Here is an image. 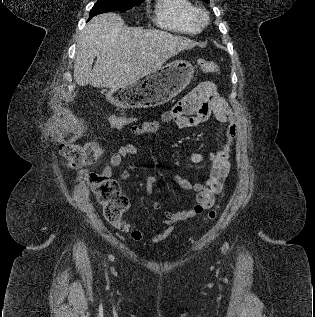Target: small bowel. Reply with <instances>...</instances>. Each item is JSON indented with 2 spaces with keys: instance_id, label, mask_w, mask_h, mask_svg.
Instances as JSON below:
<instances>
[{
  "instance_id": "c3829d8e",
  "label": "small bowel",
  "mask_w": 315,
  "mask_h": 317,
  "mask_svg": "<svg viewBox=\"0 0 315 317\" xmlns=\"http://www.w3.org/2000/svg\"><path fill=\"white\" fill-rule=\"evenodd\" d=\"M212 115L226 125V137L221 149L208 155L193 153L190 156V160L194 164H200L206 160L210 162L211 169L208 179L205 183H191L181 175L174 176V181L180 187L196 192V204L186 210L166 212L163 220L165 228L150 237L148 241L151 244L165 240L173 232L175 223L196 217L214 205L216 195L220 193L223 181L230 170L229 156L236 137L237 123L228 103L219 96L216 85L213 82H204L171 109L164 111L158 118L131 127L132 134L140 137L156 133L163 124L169 122H175L180 128L196 127L207 121ZM141 152L142 147L138 144H124L112 154L109 164L103 168L102 173L112 177L114 168L119 167L125 157L135 156ZM128 175L129 173L125 171L122 178H127ZM145 189L149 196L154 194L157 190V178L148 177ZM152 206L155 210L161 208L158 201H152ZM121 230L129 233L135 241H141L144 238V234L140 230L128 223H124Z\"/></svg>"
}]
</instances>
